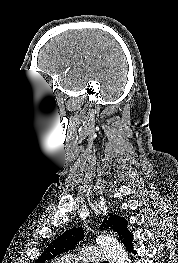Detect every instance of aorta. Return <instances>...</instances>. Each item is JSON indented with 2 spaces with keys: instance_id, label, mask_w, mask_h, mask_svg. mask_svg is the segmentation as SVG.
<instances>
[{
  "instance_id": "aorta-1",
  "label": "aorta",
  "mask_w": 178,
  "mask_h": 263,
  "mask_svg": "<svg viewBox=\"0 0 178 263\" xmlns=\"http://www.w3.org/2000/svg\"><path fill=\"white\" fill-rule=\"evenodd\" d=\"M96 242L103 248L109 263H130L124 248L113 236L100 235Z\"/></svg>"
}]
</instances>
